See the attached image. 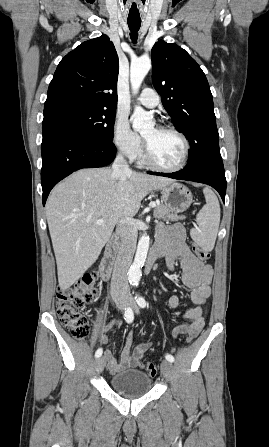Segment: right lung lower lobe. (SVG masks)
Masks as SVG:
<instances>
[{
  "instance_id": "98d812e1",
  "label": "right lung lower lobe",
  "mask_w": 269,
  "mask_h": 447,
  "mask_svg": "<svg viewBox=\"0 0 269 447\" xmlns=\"http://www.w3.org/2000/svg\"><path fill=\"white\" fill-rule=\"evenodd\" d=\"M42 134L43 206L60 180L82 168L108 166L116 156L112 141L90 136L64 118L44 117Z\"/></svg>"
}]
</instances>
